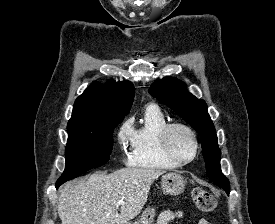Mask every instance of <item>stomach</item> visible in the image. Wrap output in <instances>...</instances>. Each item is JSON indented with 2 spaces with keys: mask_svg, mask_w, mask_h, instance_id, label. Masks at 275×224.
I'll return each mask as SVG.
<instances>
[{
  "mask_svg": "<svg viewBox=\"0 0 275 224\" xmlns=\"http://www.w3.org/2000/svg\"><path fill=\"white\" fill-rule=\"evenodd\" d=\"M186 181L184 177L176 173H168L161 178V188L164 194L176 196L181 194L185 189ZM155 209L146 208L137 221L127 224H153Z\"/></svg>",
  "mask_w": 275,
  "mask_h": 224,
  "instance_id": "1",
  "label": "stomach"
}]
</instances>
